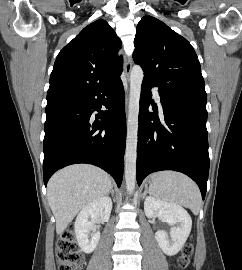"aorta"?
Wrapping results in <instances>:
<instances>
[{
	"mask_svg": "<svg viewBox=\"0 0 242 270\" xmlns=\"http://www.w3.org/2000/svg\"><path fill=\"white\" fill-rule=\"evenodd\" d=\"M143 77L142 68L139 65H134L130 73V97L125 154V181L129 194L133 193L136 182L138 115Z\"/></svg>",
	"mask_w": 242,
	"mask_h": 270,
	"instance_id": "762f6f07",
	"label": "aorta"
}]
</instances>
